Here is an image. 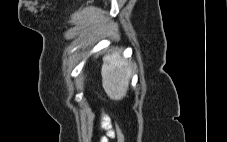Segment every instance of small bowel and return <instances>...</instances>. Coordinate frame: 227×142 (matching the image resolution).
Instances as JSON below:
<instances>
[{
    "label": "small bowel",
    "instance_id": "1",
    "mask_svg": "<svg viewBox=\"0 0 227 142\" xmlns=\"http://www.w3.org/2000/svg\"><path fill=\"white\" fill-rule=\"evenodd\" d=\"M99 129H102L106 132V135L102 136L99 142H108V138H113L112 123L108 115L102 114Z\"/></svg>",
    "mask_w": 227,
    "mask_h": 142
}]
</instances>
